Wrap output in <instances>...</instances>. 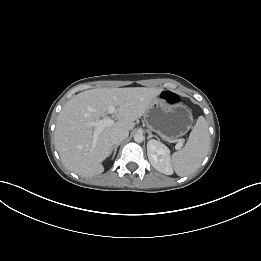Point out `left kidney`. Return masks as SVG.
I'll list each match as a JSON object with an SVG mask.
<instances>
[{
  "label": "left kidney",
  "instance_id": "5707ae66",
  "mask_svg": "<svg viewBox=\"0 0 261 261\" xmlns=\"http://www.w3.org/2000/svg\"><path fill=\"white\" fill-rule=\"evenodd\" d=\"M147 155L151 165L159 172L171 175L170 151L161 142L150 140L147 143Z\"/></svg>",
  "mask_w": 261,
  "mask_h": 261
}]
</instances>
